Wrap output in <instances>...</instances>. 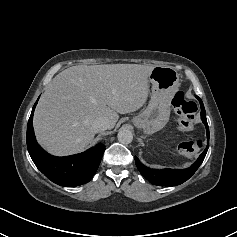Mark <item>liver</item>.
Segmentation results:
<instances>
[{
	"instance_id": "1",
	"label": "liver",
	"mask_w": 237,
	"mask_h": 237,
	"mask_svg": "<svg viewBox=\"0 0 237 237\" xmlns=\"http://www.w3.org/2000/svg\"><path fill=\"white\" fill-rule=\"evenodd\" d=\"M153 66L138 64L76 65L48 84L34 113L38 142L51 154L82 151L98 132L93 122L105 117L114 128L119 114L140 109L148 97Z\"/></svg>"
}]
</instances>
